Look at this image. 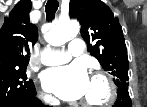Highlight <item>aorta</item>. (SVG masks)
<instances>
[{"instance_id": "1", "label": "aorta", "mask_w": 147, "mask_h": 107, "mask_svg": "<svg viewBox=\"0 0 147 107\" xmlns=\"http://www.w3.org/2000/svg\"><path fill=\"white\" fill-rule=\"evenodd\" d=\"M80 26L75 21L58 23L46 35V40L53 46H61L79 33Z\"/></svg>"}]
</instances>
